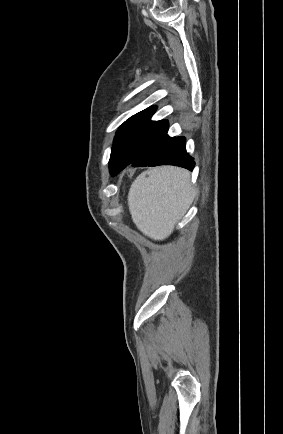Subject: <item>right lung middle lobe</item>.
<instances>
[{
	"mask_svg": "<svg viewBox=\"0 0 283 434\" xmlns=\"http://www.w3.org/2000/svg\"><path fill=\"white\" fill-rule=\"evenodd\" d=\"M167 121H151L150 116H134L125 121L115 136L109 169L117 175L135 162L153 143L168 131Z\"/></svg>",
	"mask_w": 283,
	"mask_h": 434,
	"instance_id": "obj_1",
	"label": "right lung middle lobe"
}]
</instances>
